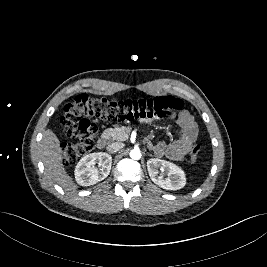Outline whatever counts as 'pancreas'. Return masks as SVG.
Here are the masks:
<instances>
[{"mask_svg": "<svg viewBox=\"0 0 267 267\" xmlns=\"http://www.w3.org/2000/svg\"><path fill=\"white\" fill-rule=\"evenodd\" d=\"M131 132V128L121 126L108 128L103 132V136L117 141H125Z\"/></svg>", "mask_w": 267, "mask_h": 267, "instance_id": "pancreas-1", "label": "pancreas"}]
</instances>
